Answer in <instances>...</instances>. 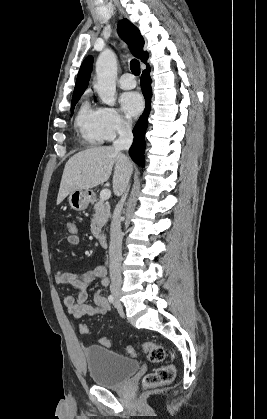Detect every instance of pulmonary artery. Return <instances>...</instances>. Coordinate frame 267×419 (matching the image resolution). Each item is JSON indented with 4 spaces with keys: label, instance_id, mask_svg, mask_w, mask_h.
Here are the masks:
<instances>
[{
    "label": "pulmonary artery",
    "instance_id": "obj_1",
    "mask_svg": "<svg viewBox=\"0 0 267 419\" xmlns=\"http://www.w3.org/2000/svg\"><path fill=\"white\" fill-rule=\"evenodd\" d=\"M118 82L123 89H132L136 86V80L131 73L123 74Z\"/></svg>",
    "mask_w": 267,
    "mask_h": 419
}]
</instances>
